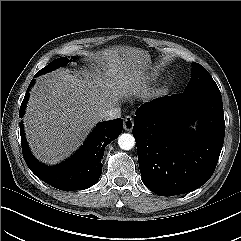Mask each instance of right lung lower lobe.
Segmentation results:
<instances>
[{
	"instance_id": "right-lung-lower-lobe-1",
	"label": "right lung lower lobe",
	"mask_w": 241,
	"mask_h": 241,
	"mask_svg": "<svg viewBox=\"0 0 241 241\" xmlns=\"http://www.w3.org/2000/svg\"><path fill=\"white\" fill-rule=\"evenodd\" d=\"M36 76H39V74L37 73ZM34 82L33 79L21 104L20 118L24 116L29 90ZM122 129L123 120L121 118L100 123L84 145L70 159L58 166L48 167L39 163L31 154L21 122L20 134L23 157L29 169L45 183L60 190H84L98 181L102 172L101 160L104 148L121 134Z\"/></svg>"
}]
</instances>
